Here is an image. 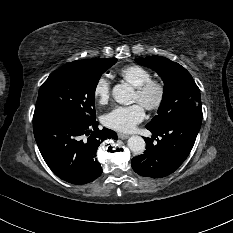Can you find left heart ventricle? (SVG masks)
Returning a JSON list of instances; mask_svg holds the SVG:
<instances>
[{"instance_id": "obj_1", "label": "left heart ventricle", "mask_w": 233, "mask_h": 233, "mask_svg": "<svg viewBox=\"0 0 233 233\" xmlns=\"http://www.w3.org/2000/svg\"><path fill=\"white\" fill-rule=\"evenodd\" d=\"M152 97H153V94L150 96V98H152ZM134 100L139 102V97H138V95L136 93H135Z\"/></svg>"}]
</instances>
